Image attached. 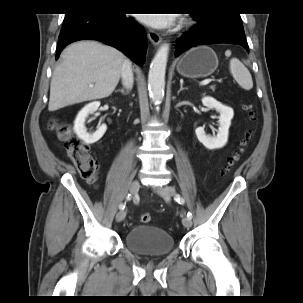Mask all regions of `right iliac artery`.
Returning a JSON list of instances; mask_svg holds the SVG:
<instances>
[{
	"instance_id": "1",
	"label": "right iliac artery",
	"mask_w": 303,
	"mask_h": 303,
	"mask_svg": "<svg viewBox=\"0 0 303 303\" xmlns=\"http://www.w3.org/2000/svg\"><path fill=\"white\" fill-rule=\"evenodd\" d=\"M126 200L127 201L131 200V195L130 194L127 195ZM119 208H120V210H124L125 203H121L120 206H119Z\"/></svg>"
}]
</instances>
